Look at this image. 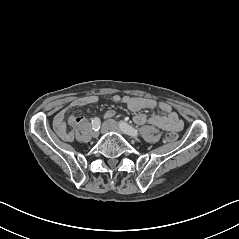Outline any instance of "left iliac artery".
<instances>
[{"label": "left iliac artery", "instance_id": "1", "mask_svg": "<svg viewBox=\"0 0 239 239\" xmlns=\"http://www.w3.org/2000/svg\"><path fill=\"white\" fill-rule=\"evenodd\" d=\"M119 125H120L121 130L124 133H126V134H128L130 136H133V137H137L138 136V131L135 128H133L132 126H130L129 124H127L126 122L120 121Z\"/></svg>", "mask_w": 239, "mask_h": 239}]
</instances>
